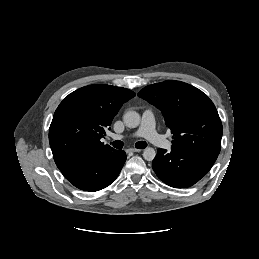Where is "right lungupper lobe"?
<instances>
[{
    "label": "right lung upper lobe",
    "mask_w": 259,
    "mask_h": 259,
    "mask_svg": "<svg viewBox=\"0 0 259 259\" xmlns=\"http://www.w3.org/2000/svg\"><path fill=\"white\" fill-rule=\"evenodd\" d=\"M134 96L129 89L100 84L82 87L65 97L49 129L55 163H78L113 151L100 139L122 105Z\"/></svg>",
    "instance_id": "1"
}]
</instances>
